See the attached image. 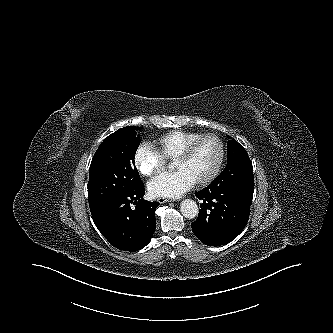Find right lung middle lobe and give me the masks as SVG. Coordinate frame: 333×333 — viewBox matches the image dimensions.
<instances>
[{"label":"right lung middle lobe","instance_id":"right-lung-middle-lobe-1","mask_svg":"<svg viewBox=\"0 0 333 333\" xmlns=\"http://www.w3.org/2000/svg\"><path fill=\"white\" fill-rule=\"evenodd\" d=\"M139 127L121 128L103 140L90 165L89 205L130 192L142 184L134 157L140 144Z\"/></svg>","mask_w":333,"mask_h":333}]
</instances>
